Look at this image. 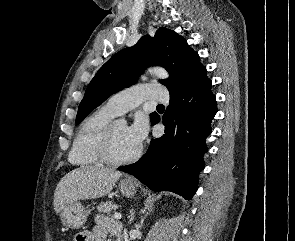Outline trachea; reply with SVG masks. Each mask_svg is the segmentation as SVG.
<instances>
[{"mask_svg":"<svg viewBox=\"0 0 295 241\" xmlns=\"http://www.w3.org/2000/svg\"><path fill=\"white\" fill-rule=\"evenodd\" d=\"M157 107H158V108H164V105L159 104V105H157Z\"/></svg>","mask_w":295,"mask_h":241,"instance_id":"obj_1","label":"trachea"}]
</instances>
